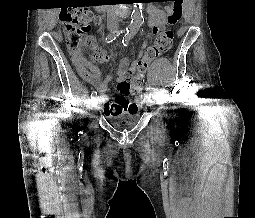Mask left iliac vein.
<instances>
[{"label": "left iliac vein", "mask_w": 255, "mask_h": 218, "mask_svg": "<svg viewBox=\"0 0 255 218\" xmlns=\"http://www.w3.org/2000/svg\"><path fill=\"white\" fill-rule=\"evenodd\" d=\"M144 101L149 105L151 104L150 98L147 95H145Z\"/></svg>", "instance_id": "4c4485c4"}]
</instances>
